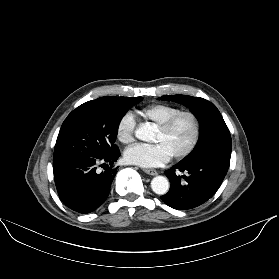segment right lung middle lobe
<instances>
[{
    "label": "right lung middle lobe",
    "mask_w": 279,
    "mask_h": 279,
    "mask_svg": "<svg viewBox=\"0 0 279 279\" xmlns=\"http://www.w3.org/2000/svg\"><path fill=\"white\" fill-rule=\"evenodd\" d=\"M142 97L106 96L83 103L63 122L57 137L54 159L102 158L118 147L117 129L123 115Z\"/></svg>",
    "instance_id": "1"
}]
</instances>
